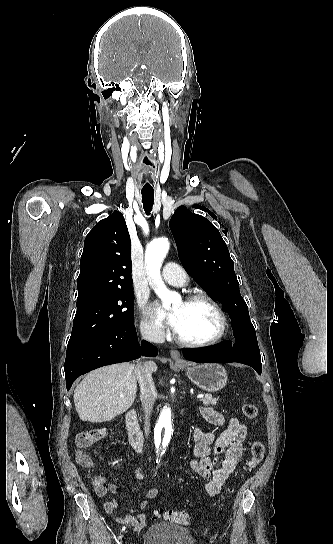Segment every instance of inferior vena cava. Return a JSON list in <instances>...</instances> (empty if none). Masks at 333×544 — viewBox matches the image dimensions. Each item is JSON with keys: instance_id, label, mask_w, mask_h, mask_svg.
Returning a JSON list of instances; mask_svg holds the SVG:
<instances>
[{"instance_id": "inferior-vena-cava-1", "label": "inferior vena cava", "mask_w": 333, "mask_h": 544, "mask_svg": "<svg viewBox=\"0 0 333 544\" xmlns=\"http://www.w3.org/2000/svg\"><path fill=\"white\" fill-rule=\"evenodd\" d=\"M141 335L150 342H158L163 339V333L155 327H144L141 329ZM135 375L139 382L141 391V403L144 410V434L146 438L150 433V416L155 402V386L152 379V373L148 367V362L138 363L135 367Z\"/></svg>"}]
</instances>
